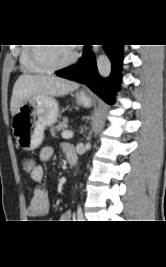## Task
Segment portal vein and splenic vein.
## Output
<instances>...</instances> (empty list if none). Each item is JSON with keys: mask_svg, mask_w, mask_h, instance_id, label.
Instances as JSON below:
<instances>
[{"mask_svg": "<svg viewBox=\"0 0 166 267\" xmlns=\"http://www.w3.org/2000/svg\"><path fill=\"white\" fill-rule=\"evenodd\" d=\"M72 136H73V132L72 131H64L62 133V138H64V139L72 138Z\"/></svg>", "mask_w": 166, "mask_h": 267, "instance_id": "1", "label": "portal vein and splenic vein"}]
</instances>
